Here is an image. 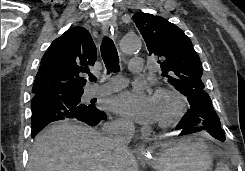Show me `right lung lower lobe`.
<instances>
[{"label": "right lung lower lobe", "mask_w": 245, "mask_h": 171, "mask_svg": "<svg viewBox=\"0 0 245 171\" xmlns=\"http://www.w3.org/2000/svg\"><path fill=\"white\" fill-rule=\"evenodd\" d=\"M82 94L70 92L61 95H35L31 102L32 138L53 121L74 118L90 126H96L100 121L106 120L105 112L93 105L80 104Z\"/></svg>", "instance_id": "1"}]
</instances>
